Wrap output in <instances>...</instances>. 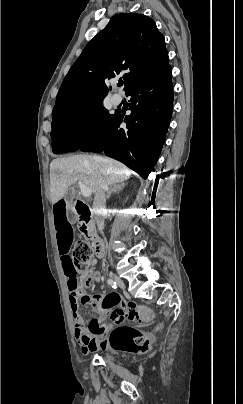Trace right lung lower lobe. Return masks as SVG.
Returning <instances> with one entry per match:
<instances>
[{
	"label": "right lung lower lobe",
	"instance_id": "obj_1",
	"mask_svg": "<svg viewBox=\"0 0 243 404\" xmlns=\"http://www.w3.org/2000/svg\"><path fill=\"white\" fill-rule=\"evenodd\" d=\"M172 69L168 64L157 75L132 86L131 114L126 116L125 128L121 111L95 138L80 151L104 152L146 179L153 170L165 141L173 110Z\"/></svg>",
	"mask_w": 243,
	"mask_h": 404
}]
</instances>
